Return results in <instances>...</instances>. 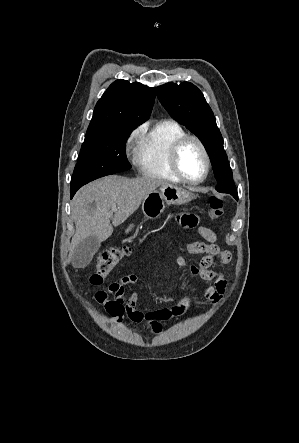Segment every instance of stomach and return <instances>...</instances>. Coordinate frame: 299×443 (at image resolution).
<instances>
[{"mask_svg": "<svg viewBox=\"0 0 299 443\" xmlns=\"http://www.w3.org/2000/svg\"><path fill=\"white\" fill-rule=\"evenodd\" d=\"M194 198L193 194L185 189L172 184L161 186L159 190L150 193L142 202V212L146 219L158 218L168 205H183L189 203ZM133 225H130L126 233L131 231Z\"/></svg>", "mask_w": 299, "mask_h": 443, "instance_id": "1", "label": "stomach"}]
</instances>
